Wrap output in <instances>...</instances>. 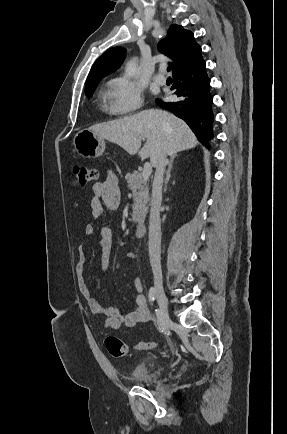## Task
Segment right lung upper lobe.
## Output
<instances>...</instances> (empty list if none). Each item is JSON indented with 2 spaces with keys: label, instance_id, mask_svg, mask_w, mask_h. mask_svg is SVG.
<instances>
[{
  "label": "right lung upper lobe",
  "instance_id": "obj_1",
  "mask_svg": "<svg viewBox=\"0 0 287 434\" xmlns=\"http://www.w3.org/2000/svg\"><path fill=\"white\" fill-rule=\"evenodd\" d=\"M158 49L174 60L175 63L171 64L173 74L187 66L201 52L193 33L176 24L169 28L167 36L159 42ZM124 54L125 49L121 47H114L103 53L91 68L86 84L100 81L118 69Z\"/></svg>",
  "mask_w": 287,
  "mask_h": 434
}]
</instances>
